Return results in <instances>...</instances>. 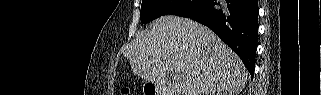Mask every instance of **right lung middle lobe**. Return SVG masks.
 I'll return each mask as SVG.
<instances>
[{"label": "right lung middle lobe", "mask_w": 321, "mask_h": 95, "mask_svg": "<svg viewBox=\"0 0 321 95\" xmlns=\"http://www.w3.org/2000/svg\"><path fill=\"white\" fill-rule=\"evenodd\" d=\"M207 0H142L141 23H148L164 15L187 17L195 14Z\"/></svg>", "instance_id": "dd1d6c3e"}]
</instances>
